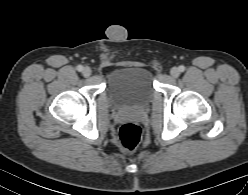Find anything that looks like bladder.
<instances>
[{
    "mask_svg": "<svg viewBox=\"0 0 248 195\" xmlns=\"http://www.w3.org/2000/svg\"><path fill=\"white\" fill-rule=\"evenodd\" d=\"M152 72L142 66H121L111 71L107 91L118 107H141L153 93Z\"/></svg>",
    "mask_w": 248,
    "mask_h": 195,
    "instance_id": "obj_1",
    "label": "bladder"
}]
</instances>
